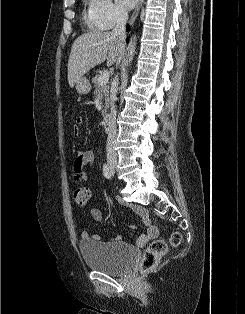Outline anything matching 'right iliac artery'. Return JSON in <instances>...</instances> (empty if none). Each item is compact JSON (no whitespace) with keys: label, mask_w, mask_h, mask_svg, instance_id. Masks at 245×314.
<instances>
[{"label":"right iliac artery","mask_w":245,"mask_h":314,"mask_svg":"<svg viewBox=\"0 0 245 314\" xmlns=\"http://www.w3.org/2000/svg\"><path fill=\"white\" fill-rule=\"evenodd\" d=\"M103 174L107 179H111V172L107 164H104L103 166Z\"/></svg>","instance_id":"obj_1"}]
</instances>
